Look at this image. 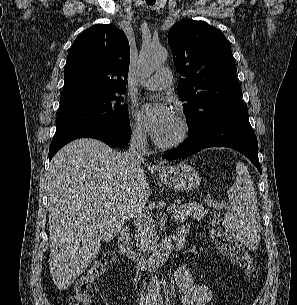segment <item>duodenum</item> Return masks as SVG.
<instances>
[{
  "label": "duodenum",
  "mask_w": 297,
  "mask_h": 305,
  "mask_svg": "<svg viewBox=\"0 0 297 305\" xmlns=\"http://www.w3.org/2000/svg\"><path fill=\"white\" fill-rule=\"evenodd\" d=\"M189 229H180L173 238L161 242L158 249L149 257H141L133 248L127 227H123L117 243L121 253L145 272H153L160 269L168 255L178 250L187 236Z\"/></svg>",
  "instance_id": "410a0bca"
}]
</instances>
